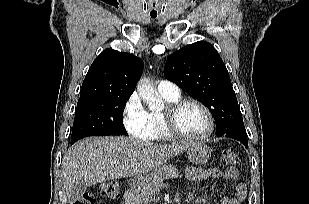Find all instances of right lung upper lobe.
I'll use <instances>...</instances> for the list:
<instances>
[{
  "instance_id": "1",
  "label": "right lung upper lobe",
  "mask_w": 309,
  "mask_h": 204,
  "mask_svg": "<svg viewBox=\"0 0 309 204\" xmlns=\"http://www.w3.org/2000/svg\"><path fill=\"white\" fill-rule=\"evenodd\" d=\"M143 67V61L132 54L105 49L92 63L78 103L104 97H130Z\"/></svg>"
}]
</instances>
